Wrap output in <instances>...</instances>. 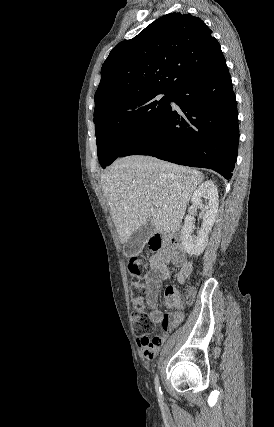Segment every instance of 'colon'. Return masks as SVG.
I'll return each instance as SVG.
<instances>
[{
  "instance_id": "obj_1",
  "label": "colon",
  "mask_w": 274,
  "mask_h": 427,
  "mask_svg": "<svg viewBox=\"0 0 274 427\" xmlns=\"http://www.w3.org/2000/svg\"><path fill=\"white\" fill-rule=\"evenodd\" d=\"M140 259L133 255L129 260V267L134 265L135 273H142L143 271L149 270L148 262H138ZM138 282L133 280L131 282V291H132V301L136 309L132 312L131 317L133 321V326L136 334H141L147 336L151 339V356H152V332L156 327V324L152 317L148 314L142 312V294L137 293ZM164 295L168 301H171L174 298V288L171 285H167L164 290Z\"/></svg>"
}]
</instances>
